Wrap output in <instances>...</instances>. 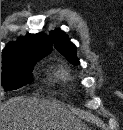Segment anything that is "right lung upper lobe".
I'll use <instances>...</instances> for the list:
<instances>
[{
	"label": "right lung upper lobe",
	"mask_w": 123,
	"mask_h": 130,
	"mask_svg": "<svg viewBox=\"0 0 123 130\" xmlns=\"http://www.w3.org/2000/svg\"><path fill=\"white\" fill-rule=\"evenodd\" d=\"M52 48L50 38L44 33L27 34L16 43H8L3 50V61L20 56L46 55Z\"/></svg>",
	"instance_id": "obj_1"
}]
</instances>
